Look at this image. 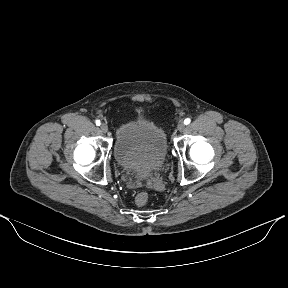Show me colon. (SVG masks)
<instances>
[{
	"instance_id": "5ec220e1",
	"label": "colon",
	"mask_w": 288,
	"mask_h": 288,
	"mask_svg": "<svg viewBox=\"0 0 288 288\" xmlns=\"http://www.w3.org/2000/svg\"><path fill=\"white\" fill-rule=\"evenodd\" d=\"M149 200V196L146 192H140L137 194L135 198V202L138 206H144L147 204Z\"/></svg>"
}]
</instances>
